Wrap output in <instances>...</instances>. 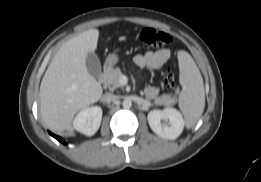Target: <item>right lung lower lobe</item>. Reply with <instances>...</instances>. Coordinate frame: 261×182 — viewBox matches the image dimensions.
Returning <instances> with one entry per match:
<instances>
[{
	"label": "right lung lower lobe",
	"instance_id": "right-lung-lower-lobe-1",
	"mask_svg": "<svg viewBox=\"0 0 261 182\" xmlns=\"http://www.w3.org/2000/svg\"><path fill=\"white\" fill-rule=\"evenodd\" d=\"M51 136H53L54 138H56L58 141H60L61 143L64 144V141L59 137V136H56L54 134H52L51 132H49Z\"/></svg>",
	"mask_w": 261,
	"mask_h": 182
}]
</instances>
